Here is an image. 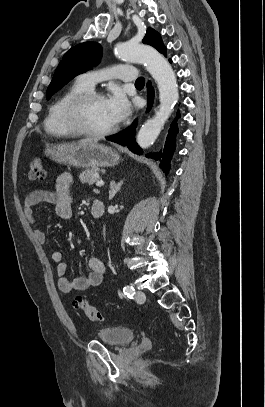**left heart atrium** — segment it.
I'll return each mask as SVG.
<instances>
[{"label": "left heart atrium", "instance_id": "39dd6f15", "mask_svg": "<svg viewBox=\"0 0 265 407\" xmlns=\"http://www.w3.org/2000/svg\"><path fill=\"white\" fill-rule=\"evenodd\" d=\"M105 100L115 124L122 122L130 115L131 105L121 92H114Z\"/></svg>", "mask_w": 265, "mask_h": 407}]
</instances>
